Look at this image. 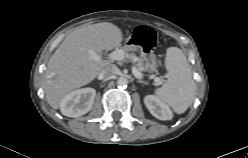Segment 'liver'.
Segmentation results:
<instances>
[{"instance_id": "6515ba94", "label": "liver", "mask_w": 248, "mask_h": 158, "mask_svg": "<svg viewBox=\"0 0 248 158\" xmlns=\"http://www.w3.org/2000/svg\"><path fill=\"white\" fill-rule=\"evenodd\" d=\"M123 40L121 30L112 23L101 22L76 28L59 45L49 59L42 86L53 109L60 107L71 91L87 85L110 63L94 60L89 50L98 53L112 50Z\"/></svg>"}]
</instances>
